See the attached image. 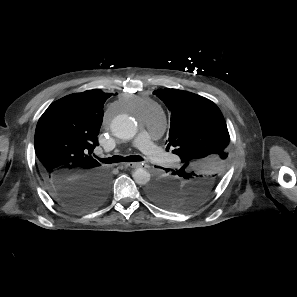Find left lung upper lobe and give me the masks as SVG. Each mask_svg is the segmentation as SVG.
Returning <instances> with one entry per match:
<instances>
[{
  "instance_id": "left-lung-upper-lobe-1",
  "label": "left lung upper lobe",
  "mask_w": 297,
  "mask_h": 297,
  "mask_svg": "<svg viewBox=\"0 0 297 297\" xmlns=\"http://www.w3.org/2000/svg\"><path fill=\"white\" fill-rule=\"evenodd\" d=\"M168 107L171 126L168 146L182 162L147 190L155 203L172 210H188L215 189L226 166L230 137L224 117L207 98L177 89L153 92Z\"/></svg>"
}]
</instances>
